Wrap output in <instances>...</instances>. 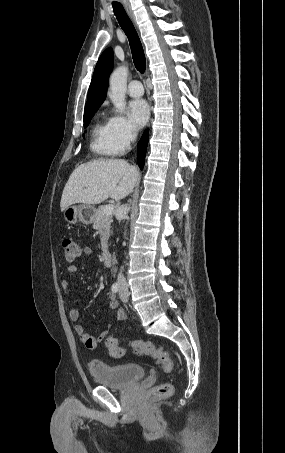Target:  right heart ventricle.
<instances>
[{"label": "right heart ventricle", "mask_w": 285, "mask_h": 453, "mask_svg": "<svg viewBox=\"0 0 285 453\" xmlns=\"http://www.w3.org/2000/svg\"><path fill=\"white\" fill-rule=\"evenodd\" d=\"M90 147L96 155L101 157L115 155L111 144L108 122L98 121L93 126Z\"/></svg>", "instance_id": "right-heart-ventricle-1"}]
</instances>
